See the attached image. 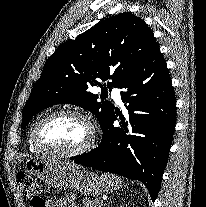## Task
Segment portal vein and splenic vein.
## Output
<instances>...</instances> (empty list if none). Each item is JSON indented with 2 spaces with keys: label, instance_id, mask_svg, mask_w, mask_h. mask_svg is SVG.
<instances>
[{
  "label": "portal vein and splenic vein",
  "instance_id": "18ae733b",
  "mask_svg": "<svg viewBox=\"0 0 206 207\" xmlns=\"http://www.w3.org/2000/svg\"><path fill=\"white\" fill-rule=\"evenodd\" d=\"M97 202H98V205H101V202L99 200Z\"/></svg>",
  "mask_w": 206,
  "mask_h": 207
}]
</instances>
